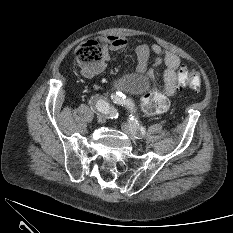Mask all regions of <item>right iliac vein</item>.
Returning a JSON list of instances; mask_svg holds the SVG:
<instances>
[{
	"instance_id": "obj_1",
	"label": "right iliac vein",
	"mask_w": 233,
	"mask_h": 233,
	"mask_svg": "<svg viewBox=\"0 0 233 233\" xmlns=\"http://www.w3.org/2000/svg\"><path fill=\"white\" fill-rule=\"evenodd\" d=\"M104 120H105V115L100 114V113L97 114V122H98V123H103Z\"/></svg>"
}]
</instances>
